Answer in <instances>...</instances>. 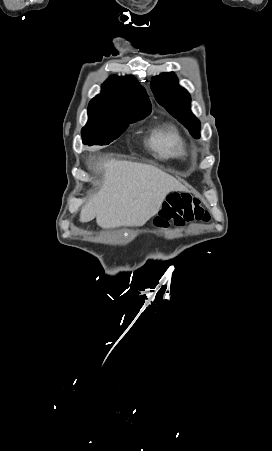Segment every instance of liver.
<instances>
[{
    "instance_id": "obj_1",
    "label": "liver",
    "mask_w": 272,
    "mask_h": 451,
    "mask_svg": "<svg viewBox=\"0 0 272 451\" xmlns=\"http://www.w3.org/2000/svg\"><path fill=\"white\" fill-rule=\"evenodd\" d=\"M104 182L80 212V222L96 218L100 227L144 226L159 212L169 192L187 188L155 166L101 158L95 166Z\"/></svg>"
}]
</instances>
